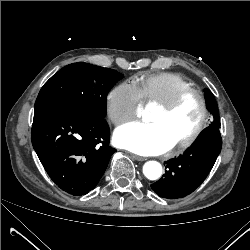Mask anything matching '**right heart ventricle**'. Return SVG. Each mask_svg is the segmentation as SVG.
Masks as SVG:
<instances>
[{
  "label": "right heart ventricle",
  "mask_w": 250,
  "mask_h": 250,
  "mask_svg": "<svg viewBox=\"0 0 250 250\" xmlns=\"http://www.w3.org/2000/svg\"><path fill=\"white\" fill-rule=\"evenodd\" d=\"M136 86L146 103L160 104L177 92L192 87V84L179 74L160 72L141 76Z\"/></svg>",
  "instance_id": "1"
}]
</instances>
